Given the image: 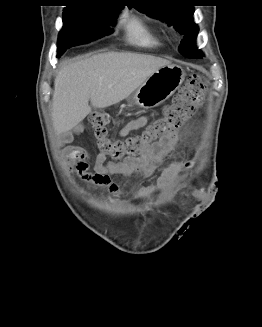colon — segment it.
<instances>
[{
  "label": "colon",
  "mask_w": 262,
  "mask_h": 327,
  "mask_svg": "<svg viewBox=\"0 0 262 327\" xmlns=\"http://www.w3.org/2000/svg\"><path fill=\"white\" fill-rule=\"evenodd\" d=\"M205 93V84L197 76L190 77L159 117L147 125L141 133L122 138L109 136L108 125L111 116L108 113H92L89 116V123L99 152L116 162L137 158L152 145L172 136L189 120L203 103Z\"/></svg>",
  "instance_id": "colon-1"
}]
</instances>
